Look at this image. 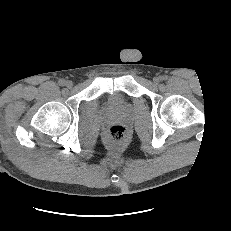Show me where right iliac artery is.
Masks as SVG:
<instances>
[{"label":"right iliac artery","instance_id":"82829eb1","mask_svg":"<svg viewBox=\"0 0 231 231\" xmlns=\"http://www.w3.org/2000/svg\"><path fill=\"white\" fill-rule=\"evenodd\" d=\"M58 83H59L60 86H64L65 85V80L61 79V80H59Z\"/></svg>","mask_w":231,"mask_h":231}]
</instances>
